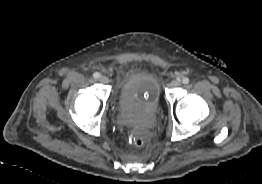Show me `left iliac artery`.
<instances>
[{
    "mask_svg": "<svg viewBox=\"0 0 262 184\" xmlns=\"http://www.w3.org/2000/svg\"><path fill=\"white\" fill-rule=\"evenodd\" d=\"M182 83H183V84H188V83H189V78L184 77V78L182 79Z\"/></svg>",
    "mask_w": 262,
    "mask_h": 184,
    "instance_id": "44dca946",
    "label": "left iliac artery"
}]
</instances>
